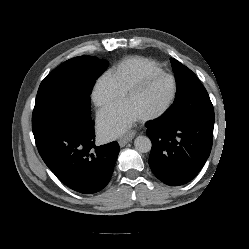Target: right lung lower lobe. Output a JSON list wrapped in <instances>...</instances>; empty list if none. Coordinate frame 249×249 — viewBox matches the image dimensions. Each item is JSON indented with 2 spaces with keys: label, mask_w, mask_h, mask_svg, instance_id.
<instances>
[{
  "label": "right lung lower lobe",
  "mask_w": 249,
  "mask_h": 249,
  "mask_svg": "<svg viewBox=\"0 0 249 249\" xmlns=\"http://www.w3.org/2000/svg\"><path fill=\"white\" fill-rule=\"evenodd\" d=\"M82 110L57 113L32 129L40 156L57 178L91 194L108 184L120 147L117 142L95 146L94 121Z\"/></svg>",
  "instance_id": "1"
}]
</instances>
